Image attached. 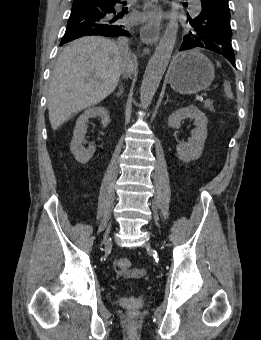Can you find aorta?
<instances>
[{
	"instance_id": "762f6f07",
	"label": "aorta",
	"mask_w": 261,
	"mask_h": 340,
	"mask_svg": "<svg viewBox=\"0 0 261 340\" xmlns=\"http://www.w3.org/2000/svg\"><path fill=\"white\" fill-rule=\"evenodd\" d=\"M180 8L179 3L172 2L170 20L146 67L140 89V105L143 108L150 105L171 58L177 38V14Z\"/></svg>"
}]
</instances>
